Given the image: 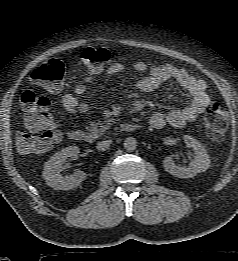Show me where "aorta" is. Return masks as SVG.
<instances>
[{
    "mask_svg": "<svg viewBox=\"0 0 238 261\" xmlns=\"http://www.w3.org/2000/svg\"><path fill=\"white\" fill-rule=\"evenodd\" d=\"M137 147V140L134 137H127L124 140V148L128 151H133Z\"/></svg>",
    "mask_w": 238,
    "mask_h": 261,
    "instance_id": "762f6f07",
    "label": "aorta"
}]
</instances>
